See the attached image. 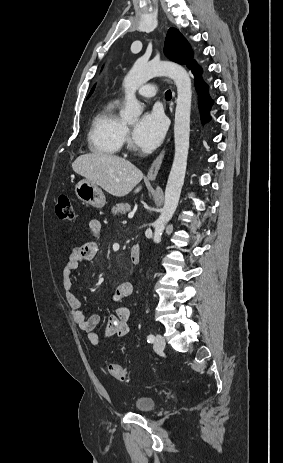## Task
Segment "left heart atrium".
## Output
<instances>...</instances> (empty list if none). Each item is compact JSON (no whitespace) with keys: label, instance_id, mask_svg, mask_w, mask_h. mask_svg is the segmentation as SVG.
I'll use <instances>...</instances> for the list:
<instances>
[{"label":"left heart atrium","instance_id":"left-heart-atrium-1","mask_svg":"<svg viewBox=\"0 0 283 463\" xmlns=\"http://www.w3.org/2000/svg\"><path fill=\"white\" fill-rule=\"evenodd\" d=\"M167 129L164 115L158 110L145 113L134 128V142L140 148L152 150L163 140Z\"/></svg>","mask_w":283,"mask_h":463}]
</instances>
